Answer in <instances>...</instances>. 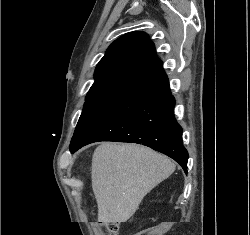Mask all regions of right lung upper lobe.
<instances>
[{
	"mask_svg": "<svg viewBox=\"0 0 250 235\" xmlns=\"http://www.w3.org/2000/svg\"><path fill=\"white\" fill-rule=\"evenodd\" d=\"M164 73L153 42L144 32H130L115 40L95 70L86 98L100 95L132 96Z\"/></svg>",
	"mask_w": 250,
	"mask_h": 235,
	"instance_id": "1",
	"label": "right lung upper lobe"
}]
</instances>
